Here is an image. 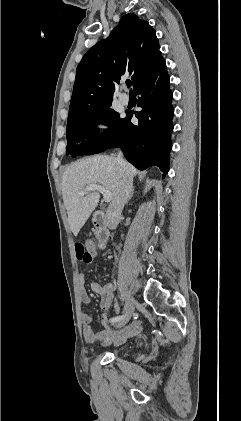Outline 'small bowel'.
I'll return each mask as SVG.
<instances>
[{
	"label": "small bowel",
	"mask_w": 241,
	"mask_h": 421,
	"mask_svg": "<svg viewBox=\"0 0 241 421\" xmlns=\"http://www.w3.org/2000/svg\"><path fill=\"white\" fill-rule=\"evenodd\" d=\"M85 275H79V296L80 300L84 304H89L91 299L85 287ZM91 289L93 292L97 293L100 296V308L103 313L101 315V324L103 330L99 332H94L91 327L92 316L89 313H84L82 315L83 322V336L86 342L91 344H120L126 339L136 335L140 331V323L132 322L131 324L125 326L119 330H112L108 324L107 312L113 301V287L110 284L102 285L97 282L91 284Z\"/></svg>",
	"instance_id": "obj_1"
}]
</instances>
